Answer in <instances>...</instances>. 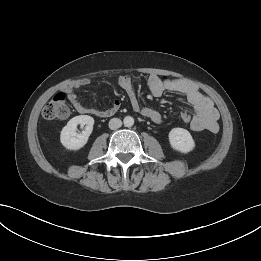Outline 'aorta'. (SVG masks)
Wrapping results in <instances>:
<instances>
[{
  "instance_id": "aorta-1",
  "label": "aorta",
  "mask_w": 261,
  "mask_h": 261,
  "mask_svg": "<svg viewBox=\"0 0 261 261\" xmlns=\"http://www.w3.org/2000/svg\"><path fill=\"white\" fill-rule=\"evenodd\" d=\"M123 123L126 127H131L134 124V119L131 116H126L123 120Z\"/></svg>"
}]
</instances>
